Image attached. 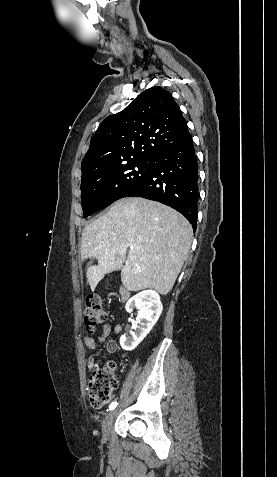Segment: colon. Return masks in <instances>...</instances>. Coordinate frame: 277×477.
Masks as SVG:
<instances>
[{
  "instance_id": "colon-1",
  "label": "colon",
  "mask_w": 277,
  "mask_h": 477,
  "mask_svg": "<svg viewBox=\"0 0 277 477\" xmlns=\"http://www.w3.org/2000/svg\"><path fill=\"white\" fill-rule=\"evenodd\" d=\"M107 318V312L102 301L97 295H90L86 299L84 310V321L90 331H94ZM88 381V398L94 408H101L106 405L112 397L113 391L117 388L115 377V364L108 362L103 367L97 365L91 368Z\"/></svg>"
}]
</instances>
